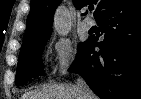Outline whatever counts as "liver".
<instances>
[{
  "label": "liver",
  "instance_id": "liver-1",
  "mask_svg": "<svg viewBox=\"0 0 141 99\" xmlns=\"http://www.w3.org/2000/svg\"><path fill=\"white\" fill-rule=\"evenodd\" d=\"M21 99H82V96L73 84H55L42 86L22 95ZM94 99H98L94 96Z\"/></svg>",
  "mask_w": 141,
  "mask_h": 99
}]
</instances>
